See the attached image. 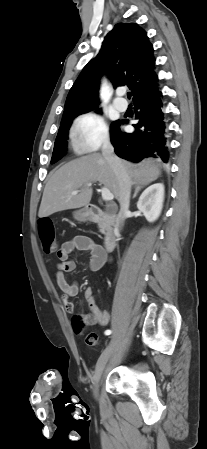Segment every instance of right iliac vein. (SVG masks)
Wrapping results in <instances>:
<instances>
[{
	"label": "right iliac vein",
	"instance_id": "63e3f726",
	"mask_svg": "<svg viewBox=\"0 0 207 449\" xmlns=\"http://www.w3.org/2000/svg\"><path fill=\"white\" fill-rule=\"evenodd\" d=\"M113 346H114V342H110V344L105 348V350L102 352V354L100 355L96 367H95V371L93 374V378H92V383H93V394L95 397H97L98 395V384L99 381L101 379V376L103 374L104 368L106 366V363L112 353L113 350Z\"/></svg>",
	"mask_w": 207,
	"mask_h": 449
}]
</instances>
